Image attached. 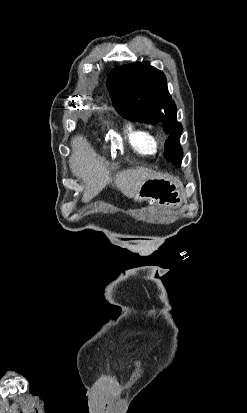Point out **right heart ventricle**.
Wrapping results in <instances>:
<instances>
[{
	"label": "right heart ventricle",
	"mask_w": 247,
	"mask_h": 413,
	"mask_svg": "<svg viewBox=\"0 0 247 413\" xmlns=\"http://www.w3.org/2000/svg\"><path fill=\"white\" fill-rule=\"evenodd\" d=\"M150 133L142 129L128 127V141L143 156H153L156 149L150 144Z\"/></svg>",
	"instance_id": "1"
}]
</instances>
